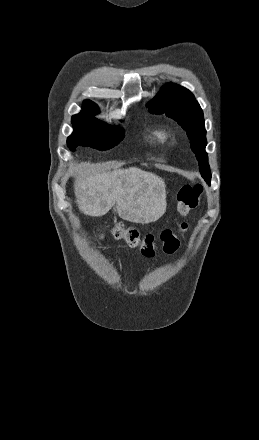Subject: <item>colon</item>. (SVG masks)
I'll list each match as a JSON object with an SVG mask.
<instances>
[{"instance_id": "5ec220e1", "label": "colon", "mask_w": 259, "mask_h": 440, "mask_svg": "<svg viewBox=\"0 0 259 440\" xmlns=\"http://www.w3.org/2000/svg\"><path fill=\"white\" fill-rule=\"evenodd\" d=\"M201 193L200 184L184 185L180 188L177 194V208L182 217H186L198 205ZM186 228L187 223L182 222L179 229L184 231ZM111 233L114 238L124 240L129 246L138 248L143 255L148 257L154 256L159 249L170 254L179 247L178 235L170 229L164 230L160 238H157L152 234H140L135 228L116 224Z\"/></svg>"}]
</instances>
